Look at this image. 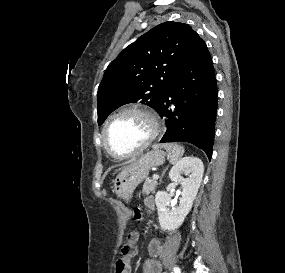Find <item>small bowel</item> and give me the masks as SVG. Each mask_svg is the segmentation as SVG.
<instances>
[{
	"label": "small bowel",
	"mask_w": 285,
	"mask_h": 273,
	"mask_svg": "<svg viewBox=\"0 0 285 273\" xmlns=\"http://www.w3.org/2000/svg\"><path fill=\"white\" fill-rule=\"evenodd\" d=\"M145 206L148 210L155 208V202L153 197H147L145 199ZM148 258L143 267V273H162V264L158 260L161 254V243L159 240H151L148 244Z\"/></svg>",
	"instance_id": "c3829d8e"
}]
</instances>
